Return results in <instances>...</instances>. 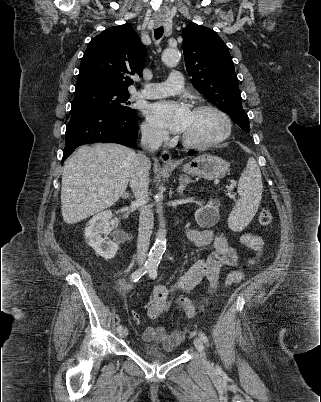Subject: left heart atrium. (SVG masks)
<instances>
[{"label": "left heart atrium", "mask_w": 321, "mask_h": 402, "mask_svg": "<svg viewBox=\"0 0 321 402\" xmlns=\"http://www.w3.org/2000/svg\"><path fill=\"white\" fill-rule=\"evenodd\" d=\"M144 112L149 122L155 127L177 133L185 130L191 115L186 104L171 100L149 104Z\"/></svg>", "instance_id": "1"}]
</instances>
